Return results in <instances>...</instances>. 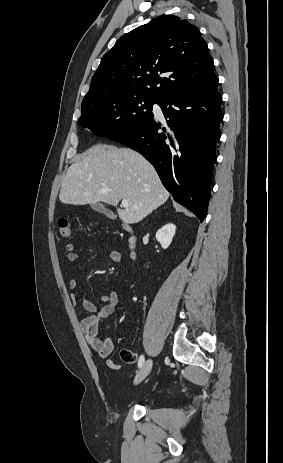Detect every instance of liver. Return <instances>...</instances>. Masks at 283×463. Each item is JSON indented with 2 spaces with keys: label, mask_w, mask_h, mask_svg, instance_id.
I'll use <instances>...</instances> for the list:
<instances>
[{
  "label": "liver",
  "mask_w": 283,
  "mask_h": 463,
  "mask_svg": "<svg viewBox=\"0 0 283 463\" xmlns=\"http://www.w3.org/2000/svg\"><path fill=\"white\" fill-rule=\"evenodd\" d=\"M169 192L154 167L129 148L98 144L73 163L63 177L59 199L64 204L84 205L104 202L118 208L119 218L127 224L143 220L164 204Z\"/></svg>",
  "instance_id": "liver-1"
}]
</instances>
